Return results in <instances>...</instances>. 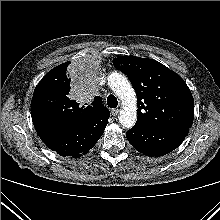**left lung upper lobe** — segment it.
<instances>
[{
  "instance_id": "5c2ea615",
  "label": "left lung upper lobe",
  "mask_w": 220,
  "mask_h": 220,
  "mask_svg": "<svg viewBox=\"0 0 220 220\" xmlns=\"http://www.w3.org/2000/svg\"><path fill=\"white\" fill-rule=\"evenodd\" d=\"M113 64L128 76L136 91V123L151 127L192 126L193 97L178 74L153 59L136 56L115 58Z\"/></svg>"
}]
</instances>
